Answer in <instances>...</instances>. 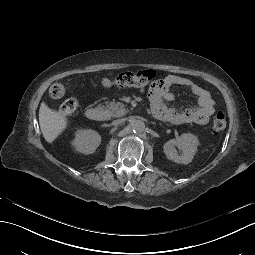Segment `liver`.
Segmentation results:
<instances>
[{"label":"liver","mask_w":255,"mask_h":255,"mask_svg":"<svg viewBox=\"0 0 255 255\" xmlns=\"http://www.w3.org/2000/svg\"><path fill=\"white\" fill-rule=\"evenodd\" d=\"M39 124L45 140L52 143L66 128V117L57 111L50 109L44 102L39 109Z\"/></svg>","instance_id":"1"}]
</instances>
